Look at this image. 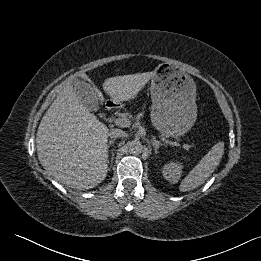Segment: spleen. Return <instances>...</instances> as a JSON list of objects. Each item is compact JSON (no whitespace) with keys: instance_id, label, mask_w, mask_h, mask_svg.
<instances>
[{"instance_id":"1","label":"spleen","mask_w":261,"mask_h":261,"mask_svg":"<svg viewBox=\"0 0 261 261\" xmlns=\"http://www.w3.org/2000/svg\"><path fill=\"white\" fill-rule=\"evenodd\" d=\"M223 153L224 143L218 142L182 180L179 190L182 192L190 191L202 185L219 165Z\"/></svg>"}]
</instances>
